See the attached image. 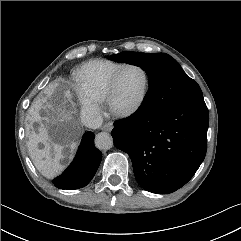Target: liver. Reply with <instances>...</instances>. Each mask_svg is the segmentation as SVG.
I'll return each mask as SVG.
<instances>
[{"label":"liver","instance_id":"1","mask_svg":"<svg viewBox=\"0 0 241 241\" xmlns=\"http://www.w3.org/2000/svg\"><path fill=\"white\" fill-rule=\"evenodd\" d=\"M56 87L57 84L51 85L48 94ZM71 97L69 90L64 92V101L59 105L42 97L36 99L29 109L31 123L26 128L28 152L37 170L47 178L55 177L64 169L63 151L67 149L72 153L81 136L80 126L73 117ZM34 122L39 124L38 133L32 130ZM49 130L54 131L61 144H51Z\"/></svg>","mask_w":241,"mask_h":241}]
</instances>
